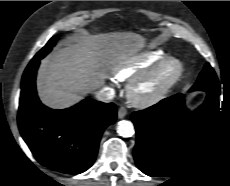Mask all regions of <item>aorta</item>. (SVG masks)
<instances>
[{
	"mask_svg": "<svg viewBox=\"0 0 230 186\" xmlns=\"http://www.w3.org/2000/svg\"><path fill=\"white\" fill-rule=\"evenodd\" d=\"M117 133L122 137H131L134 135V126L131 121L122 120L118 122Z\"/></svg>",
	"mask_w": 230,
	"mask_h": 186,
	"instance_id": "obj_1",
	"label": "aorta"
}]
</instances>
